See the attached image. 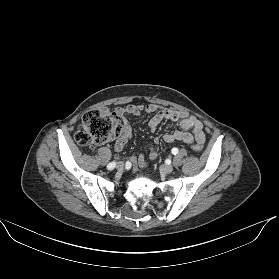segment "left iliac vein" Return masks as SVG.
<instances>
[{"instance_id":"obj_1","label":"left iliac vein","mask_w":279,"mask_h":279,"mask_svg":"<svg viewBox=\"0 0 279 279\" xmlns=\"http://www.w3.org/2000/svg\"><path fill=\"white\" fill-rule=\"evenodd\" d=\"M161 171L165 174H170L173 172V166L172 165H162L160 167Z\"/></svg>"}]
</instances>
